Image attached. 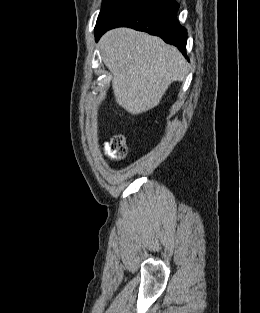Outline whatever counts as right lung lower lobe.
Returning <instances> with one entry per match:
<instances>
[{
  "mask_svg": "<svg viewBox=\"0 0 260 313\" xmlns=\"http://www.w3.org/2000/svg\"><path fill=\"white\" fill-rule=\"evenodd\" d=\"M175 0H119L95 26L96 41L107 30L131 27L161 37L186 56L187 31L176 20Z\"/></svg>",
  "mask_w": 260,
  "mask_h": 313,
  "instance_id": "right-lung-lower-lobe-1",
  "label": "right lung lower lobe"
}]
</instances>
